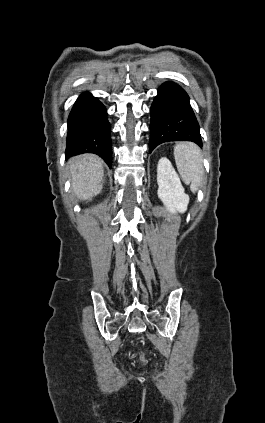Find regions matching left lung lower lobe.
Masks as SVG:
<instances>
[{
    "mask_svg": "<svg viewBox=\"0 0 265 423\" xmlns=\"http://www.w3.org/2000/svg\"><path fill=\"white\" fill-rule=\"evenodd\" d=\"M149 150L167 141L186 140L202 146L200 129L187 93L166 82L158 89L151 106Z\"/></svg>",
    "mask_w": 265,
    "mask_h": 423,
    "instance_id": "left-lung-lower-lobe-1",
    "label": "left lung lower lobe"
}]
</instances>
